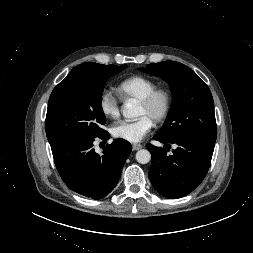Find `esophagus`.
<instances>
[{
	"mask_svg": "<svg viewBox=\"0 0 253 253\" xmlns=\"http://www.w3.org/2000/svg\"><path fill=\"white\" fill-rule=\"evenodd\" d=\"M143 146L141 144H133L132 145V149L133 151H137L139 149H141Z\"/></svg>",
	"mask_w": 253,
	"mask_h": 253,
	"instance_id": "esophagus-1",
	"label": "esophagus"
}]
</instances>
